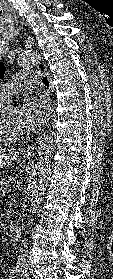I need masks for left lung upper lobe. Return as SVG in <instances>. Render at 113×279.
Here are the masks:
<instances>
[{"label": "left lung upper lobe", "mask_w": 113, "mask_h": 279, "mask_svg": "<svg viewBox=\"0 0 113 279\" xmlns=\"http://www.w3.org/2000/svg\"><path fill=\"white\" fill-rule=\"evenodd\" d=\"M5 72V66L2 62H0V79L3 77Z\"/></svg>", "instance_id": "1"}]
</instances>
